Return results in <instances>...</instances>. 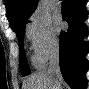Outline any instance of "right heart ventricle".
Wrapping results in <instances>:
<instances>
[{
  "instance_id": "obj_1",
  "label": "right heart ventricle",
  "mask_w": 89,
  "mask_h": 89,
  "mask_svg": "<svg viewBox=\"0 0 89 89\" xmlns=\"http://www.w3.org/2000/svg\"><path fill=\"white\" fill-rule=\"evenodd\" d=\"M34 62H35L36 64H39L36 59L34 60Z\"/></svg>"
}]
</instances>
